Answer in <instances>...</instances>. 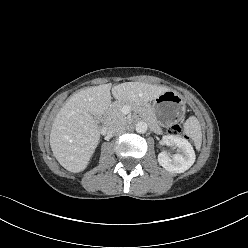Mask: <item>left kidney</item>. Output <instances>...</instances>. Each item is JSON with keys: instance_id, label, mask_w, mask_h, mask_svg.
<instances>
[{"instance_id": "1", "label": "left kidney", "mask_w": 248, "mask_h": 248, "mask_svg": "<svg viewBox=\"0 0 248 248\" xmlns=\"http://www.w3.org/2000/svg\"><path fill=\"white\" fill-rule=\"evenodd\" d=\"M162 141L167 146L177 147V153L169 156L166 151L158 154L159 164L169 172L183 173L195 162L196 155L192 145L184 138L176 135H165Z\"/></svg>"}]
</instances>
